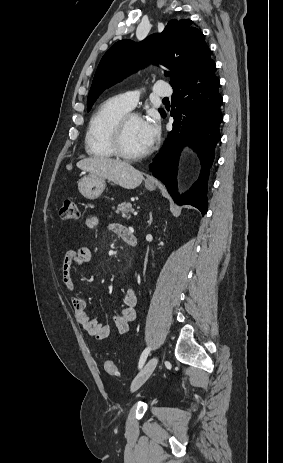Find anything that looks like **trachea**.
<instances>
[{"instance_id": "3493384b", "label": "trachea", "mask_w": 283, "mask_h": 463, "mask_svg": "<svg viewBox=\"0 0 283 463\" xmlns=\"http://www.w3.org/2000/svg\"><path fill=\"white\" fill-rule=\"evenodd\" d=\"M163 100H164V101H168L169 99H168V98H164Z\"/></svg>"}]
</instances>
